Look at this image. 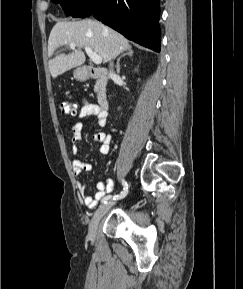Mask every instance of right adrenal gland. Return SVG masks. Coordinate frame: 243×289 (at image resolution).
Masks as SVG:
<instances>
[{"label":"right adrenal gland","instance_id":"1","mask_svg":"<svg viewBox=\"0 0 243 289\" xmlns=\"http://www.w3.org/2000/svg\"><path fill=\"white\" fill-rule=\"evenodd\" d=\"M126 55L132 57L133 56V50L131 48L128 49V50H125V52L118 58L117 63H116V71H117V73L120 72V59L122 57L126 56Z\"/></svg>","mask_w":243,"mask_h":289}]
</instances>
